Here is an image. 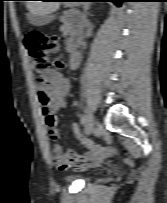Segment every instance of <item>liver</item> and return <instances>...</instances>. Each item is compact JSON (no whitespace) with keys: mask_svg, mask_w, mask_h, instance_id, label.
<instances>
[{"mask_svg":"<svg viewBox=\"0 0 167 203\" xmlns=\"http://www.w3.org/2000/svg\"><path fill=\"white\" fill-rule=\"evenodd\" d=\"M73 5L79 6L80 3L75 2ZM26 6L31 14L44 16L56 11L59 8L60 3L50 1H28Z\"/></svg>","mask_w":167,"mask_h":203,"instance_id":"liver-1","label":"liver"}]
</instances>
